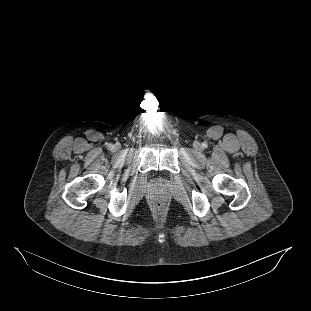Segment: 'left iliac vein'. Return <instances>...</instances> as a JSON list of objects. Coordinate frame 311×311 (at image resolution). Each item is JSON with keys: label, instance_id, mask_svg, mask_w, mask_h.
<instances>
[{"label": "left iliac vein", "instance_id": "obj_1", "mask_svg": "<svg viewBox=\"0 0 311 311\" xmlns=\"http://www.w3.org/2000/svg\"><path fill=\"white\" fill-rule=\"evenodd\" d=\"M195 148H196L197 150H199V149H200V144H199V143H196V144H195Z\"/></svg>", "mask_w": 311, "mask_h": 311}]
</instances>
